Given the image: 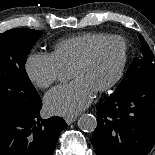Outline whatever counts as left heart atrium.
<instances>
[{"label":"left heart atrium","instance_id":"1","mask_svg":"<svg viewBox=\"0 0 155 155\" xmlns=\"http://www.w3.org/2000/svg\"><path fill=\"white\" fill-rule=\"evenodd\" d=\"M94 94L85 83L73 80L49 91L44 104L50 114L71 117L84 110L91 103Z\"/></svg>","mask_w":155,"mask_h":155}]
</instances>
